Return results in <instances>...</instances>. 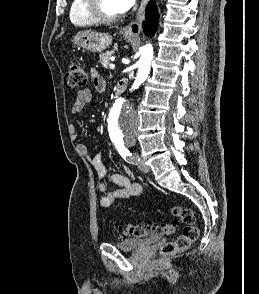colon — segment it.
I'll use <instances>...</instances> for the list:
<instances>
[{
	"mask_svg": "<svg viewBox=\"0 0 259 294\" xmlns=\"http://www.w3.org/2000/svg\"><path fill=\"white\" fill-rule=\"evenodd\" d=\"M88 80L87 73L81 62L74 60L69 64L65 75V86L67 88H79L86 85ZM172 215L176 221L165 225L156 224H116V229L121 236L127 237H153L165 234H172L181 221L185 226L182 232L173 241L166 243L161 248L164 255H172L187 250L198 238L199 229L196 226L195 214L192 209L180 205L172 207Z\"/></svg>",
	"mask_w": 259,
	"mask_h": 294,
	"instance_id": "obj_1",
	"label": "colon"
}]
</instances>
